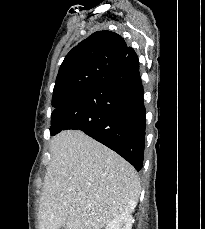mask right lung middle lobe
I'll return each mask as SVG.
<instances>
[{"mask_svg":"<svg viewBox=\"0 0 205 229\" xmlns=\"http://www.w3.org/2000/svg\"><path fill=\"white\" fill-rule=\"evenodd\" d=\"M72 98H73V97L63 99V100L61 101V105H60L59 107H61V106H63L64 104H66V103H67L70 99H72ZM53 107L58 108V107H56V106H53Z\"/></svg>","mask_w":205,"mask_h":229,"instance_id":"right-lung-middle-lobe-1","label":"right lung middle lobe"}]
</instances>
